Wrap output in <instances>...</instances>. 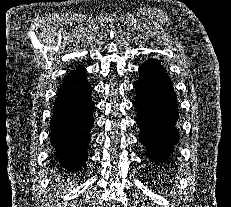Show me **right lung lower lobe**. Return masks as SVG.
Listing matches in <instances>:
<instances>
[{
  "label": "right lung lower lobe",
  "mask_w": 231,
  "mask_h": 207,
  "mask_svg": "<svg viewBox=\"0 0 231 207\" xmlns=\"http://www.w3.org/2000/svg\"><path fill=\"white\" fill-rule=\"evenodd\" d=\"M92 87L86 71L77 67L63 80L51 118V143L60 166L78 171L86 162L90 130L94 123Z\"/></svg>",
  "instance_id": "1"
}]
</instances>
